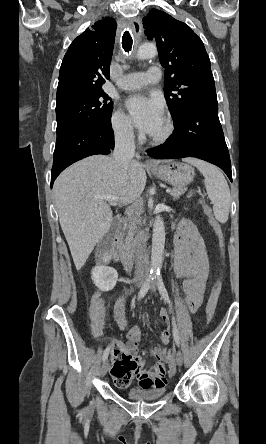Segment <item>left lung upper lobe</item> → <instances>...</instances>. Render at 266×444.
Listing matches in <instances>:
<instances>
[{
    "instance_id": "5c2ea615",
    "label": "left lung upper lobe",
    "mask_w": 266,
    "mask_h": 444,
    "mask_svg": "<svg viewBox=\"0 0 266 444\" xmlns=\"http://www.w3.org/2000/svg\"><path fill=\"white\" fill-rule=\"evenodd\" d=\"M165 68L164 94L172 119L203 104H218L210 59L201 39L185 23L157 9L143 18Z\"/></svg>"
}]
</instances>
